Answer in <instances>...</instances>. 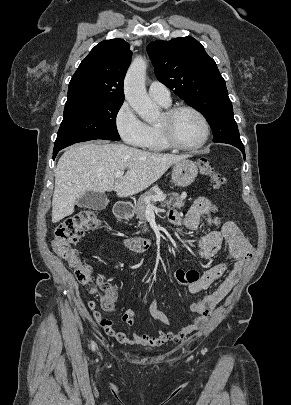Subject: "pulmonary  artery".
Returning <instances> with one entry per match:
<instances>
[{"label": "pulmonary artery", "instance_id": "pulmonary-artery-1", "mask_svg": "<svg viewBox=\"0 0 291 405\" xmlns=\"http://www.w3.org/2000/svg\"><path fill=\"white\" fill-rule=\"evenodd\" d=\"M148 93L155 101L163 104L171 102L169 89L159 81H152L148 87Z\"/></svg>", "mask_w": 291, "mask_h": 405}]
</instances>
